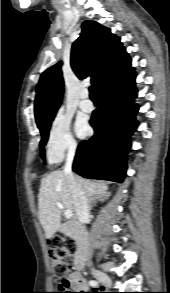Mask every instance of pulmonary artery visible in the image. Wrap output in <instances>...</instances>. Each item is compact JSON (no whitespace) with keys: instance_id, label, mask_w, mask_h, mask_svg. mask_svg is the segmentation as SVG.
Returning <instances> with one entry per match:
<instances>
[{"instance_id":"obj_1","label":"pulmonary artery","mask_w":170,"mask_h":293,"mask_svg":"<svg viewBox=\"0 0 170 293\" xmlns=\"http://www.w3.org/2000/svg\"><path fill=\"white\" fill-rule=\"evenodd\" d=\"M80 96H81V101L79 103V106L81 110L84 112H91L94 109V105L89 99L88 91H83Z\"/></svg>"}]
</instances>
